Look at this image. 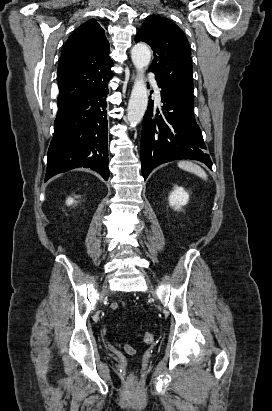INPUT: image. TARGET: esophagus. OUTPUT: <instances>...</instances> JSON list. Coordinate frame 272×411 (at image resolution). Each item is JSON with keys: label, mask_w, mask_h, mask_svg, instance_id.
Wrapping results in <instances>:
<instances>
[{"label": "esophagus", "mask_w": 272, "mask_h": 411, "mask_svg": "<svg viewBox=\"0 0 272 411\" xmlns=\"http://www.w3.org/2000/svg\"><path fill=\"white\" fill-rule=\"evenodd\" d=\"M134 79H135V74L132 75V80H134Z\"/></svg>", "instance_id": "obj_1"}]
</instances>
